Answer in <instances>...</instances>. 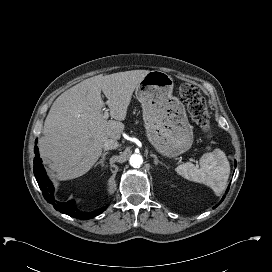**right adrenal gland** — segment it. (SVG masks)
I'll return each instance as SVG.
<instances>
[{
    "label": "right adrenal gland",
    "instance_id": "1",
    "mask_svg": "<svg viewBox=\"0 0 272 272\" xmlns=\"http://www.w3.org/2000/svg\"><path fill=\"white\" fill-rule=\"evenodd\" d=\"M109 154V152H104L101 156V159L95 164V167L98 165V164H101V166L103 167L105 164V159H106V155Z\"/></svg>",
    "mask_w": 272,
    "mask_h": 272
}]
</instances>
